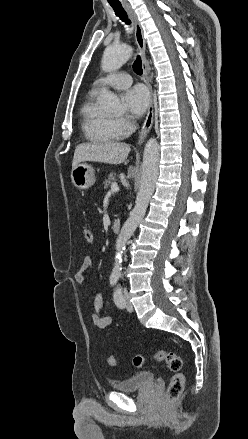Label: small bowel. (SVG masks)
<instances>
[{
    "mask_svg": "<svg viewBox=\"0 0 248 439\" xmlns=\"http://www.w3.org/2000/svg\"><path fill=\"white\" fill-rule=\"evenodd\" d=\"M92 266L91 257H85L76 272L74 279L77 284L83 285L85 280V272ZM92 322L99 329L107 328L111 322V317L104 316L103 314V298L100 293L94 295L93 298V312H92Z\"/></svg>",
    "mask_w": 248,
    "mask_h": 439,
    "instance_id": "1",
    "label": "small bowel"
}]
</instances>
